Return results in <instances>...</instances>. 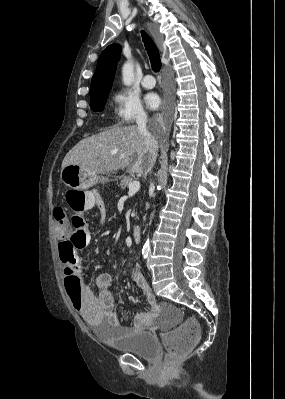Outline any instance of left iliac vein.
Masks as SVG:
<instances>
[{"label": "left iliac vein", "instance_id": "1", "mask_svg": "<svg viewBox=\"0 0 285 399\" xmlns=\"http://www.w3.org/2000/svg\"><path fill=\"white\" fill-rule=\"evenodd\" d=\"M151 255H152V251L149 253V257H148V260H147V268H148V270H150V265H151Z\"/></svg>", "mask_w": 285, "mask_h": 399}]
</instances>
